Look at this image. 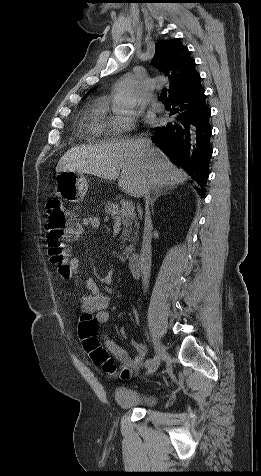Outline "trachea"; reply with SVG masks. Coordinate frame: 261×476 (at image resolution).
<instances>
[{"label":"trachea","instance_id":"1","mask_svg":"<svg viewBox=\"0 0 261 476\" xmlns=\"http://www.w3.org/2000/svg\"><path fill=\"white\" fill-rule=\"evenodd\" d=\"M160 97H161V100H162L163 102H168L169 100H168V97H167V90H163V91L161 92Z\"/></svg>","mask_w":261,"mask_h":476}]
</instances>
